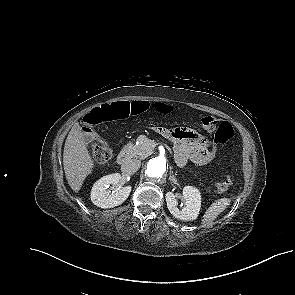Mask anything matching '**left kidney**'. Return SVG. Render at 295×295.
<instances>
[{"label": "left kidney", "mask_w": 295, "mask_h": 295, "mask_svg": "<svg viewBox=\"0 0 295 295\" xmlns=\"http://www.w3.org/2000/svg\"><path fill=\"white\" fill-rule=\"evenodd\" d=\"M165 197L167 208L175 218L183 221H193L198 217L201 207V193L197 188L192 186L183 188L184 207L182 209L177 207L178 203L174 193L167 192Z\"/></svg>", "instance_id": "5707ae66"}]
</instances>
